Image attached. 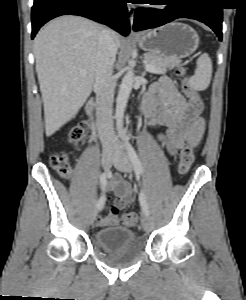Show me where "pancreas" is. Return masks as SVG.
Here are the masks:
<instances>
[{
	"instance_id": "pancreas-1",
	"label": "pancreas",
	"mask_w": 246,
	"mask_h": 300,
	"mask_svg": "<svg viewBox=\"0 0 246 300\" xmlns=\"http://www.w3.org/2000/svg\"><path fill=\"white\" fill-rule=\"evenodd\" d=\"M144 61L146 64L154 66L161 74L166 73L167 68L172 69V67L177 65L170 63L153 53L144 54Z\"/></svg>"
}]
</instances>
